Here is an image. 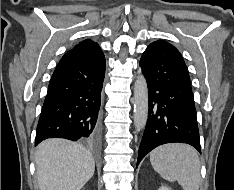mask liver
Segmentation results:
<instances>
[{
  "label": "liver",
  "mask_w": 234,
  "mask_h": 190,
  "mask_svg": "<svg viewBox=\"0 0 234 190\" xmlns=\"http://www.w3.org/2000/svg\"><path fill=\"white\" fill-rule=\"evenodd\" d=\"M40 190H80L94 175L95 162L89 150L64 139H47L36 148Z\"/></svg>",
  "instance_id": "1"
}]
</instances>
